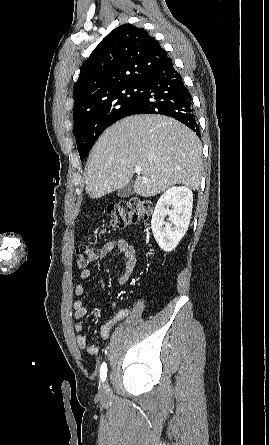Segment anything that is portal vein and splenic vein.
I'll list each match as a JSON object with an SVG mask.
<instances>
[{
    "mask_svg": "<svg viewBox=\"0 0 269 445\" xmlns=\"http://www.w3.org/2000/svg\"><path fill=\"white\" fill-rule=\"evenodd\" d=\"M134 171H135V173L140 174L141 173V167H135Z\"/></svg>",
    "mask_w": 269,
    "mask_h": 445,
    "instance_id": "18ae733b",
    "label": "portal vein and splenic vein"
}]
</instances>
